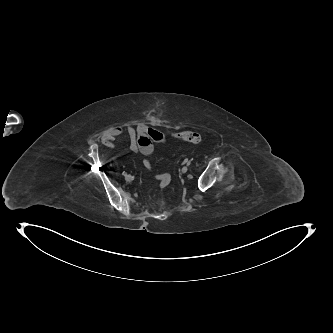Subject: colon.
<instances>
[{
    "label": "colon",
    "mask_w": 333,
    "mask_h": 333,
    "mask_svg": "<svg viewBox=\"0 0 333 333\" xmlns=\"http://www.w3.org/2000/svg\"><path fill=\"white\" fill-rule=\"evenodd\" d=\"M173 137L176 139H180V140L189 142L191 144H199L201 142L200 134L197 132H192V131L176 133L173 135ZM144 163L148 169H150V170L152 169L151 163L148 159H145ZM155 178L158 181V185L161 189L167 188L171 182L170 175H168L166 173L155 174Z\"/></svg>",
    "instance_id": "1"
}]
</instances>
